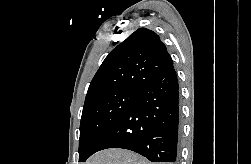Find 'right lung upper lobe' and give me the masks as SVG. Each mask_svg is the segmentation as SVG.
Instances as JSON below:
<instances>
[{
    "label": "right lung upper lobe",
    "instance_id": "1",
    "mask_svg": "<svg viewBox=\"0 0 251 164\" xmlns=\"http://www.w3.org/2000/svg\"><path fill=\"white\" fill-rule=\"evenodd\" d=\"M173 67L159 36L139 28L105 58L87 91L85 103L121 88H140Z\"/></svg>",
    "mask_w": 251,
    "mask_h": 164
}]
</instances>
